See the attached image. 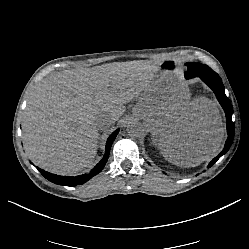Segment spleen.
I'll list each match as a JSON object with an SVG mask.
<instances>
[{"label":"spleen","mask_w":249,"mask_h":249,"mask_svg":"<svg viewBox=\"0 0 249 249\" xmlns=\"http://www.w3.org/2000/svg\"><path fill=\"white\" fill-rule=\"evenodd\" d=\"M160 149H161L162 154H163L164 156H167V155H168V152H169V150H170V147H168V146H163V145L160 144Z\"/></svg>","instance_id":"3e777b00"}]
</instances>
